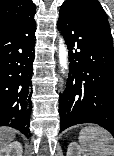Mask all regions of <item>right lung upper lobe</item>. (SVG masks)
Masks as SVG:
<instances>
[{
  "label": "right lung upper lobe",
  "mask_w": 114,
  "mask_h": 156,
  "mask_svg": "<svg viewBox=\"0 0 114 156\" xmlns=\"http://www.w3.org/2000/svg\"><path fill=\"white\" fill-rule=\"evenodd\" d=\"M31 0H0V29L35 12Z\"/></svg>",
  "instance_id": "right-lung-upper-lobe-1"
}]
</instances>
